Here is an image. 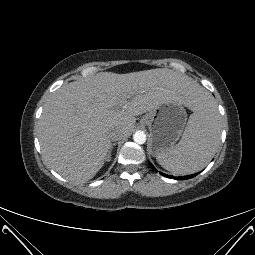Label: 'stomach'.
Segmentation results:
<instances>
[{
  "mask_svg": "<svg viewBox=\"0 0 255 255\" xmlns=\"http://www.w3.org/2000/svg\"><path fill=\"white\" fill-rule=\"evenodd\" d=\"M151 111L153 120L148 126L150 130L148 147L150 153L157 156L172 148L179 140L187 120V114L184 104L176 98L163 100Z\"/></svg>",
  "mask_w": 255,
  "mask_h": 255,
  "instance_id": "1",
  "label": "stomach"
}]
</instances>
